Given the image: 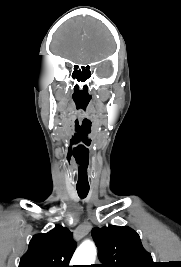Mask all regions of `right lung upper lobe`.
<instances>
[{
    "instance_id": "right-lung-upper-lobe-1",
    "label": "right lung upper lobe",
    "mask_w": 181,
    "mask_h": 267,
    "mask_svg": "<svg viewBox=\"0 0 181 267\" xmlns=\"http://www.w3.org/2000/svg\"><path fill=\"white\" fill-rule=\"evenodd\" d=\"M76 242L69 229L56 226L45 234L33 236L19 267H70Z\"/></svg>"
}]
</instances>
